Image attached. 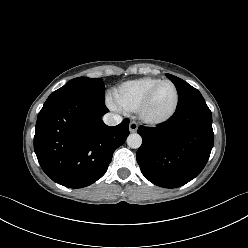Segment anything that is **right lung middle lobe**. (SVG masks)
<instances>
[{
  "mask_svg": "<svg viewBox=\"0 0 248 248\" xmlns=\"http://www.w3.org/2000/svg\"><path fill=\"white\" fill-rule=\"evenodd\" d=\"M104 82L100 78L78 77L67 82L63 87L54 91L48 98H54L60 95L81 94L95 98L104 102L105 97Z\"/></svg>",
  "mask_w": 248,
  "mask_h": 248,
  "instance_id": "dd1d6c3e",
  "label": "right lung middle lobe"
}]
</instances>
